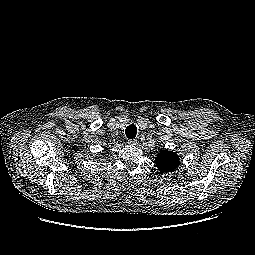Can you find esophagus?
Masks as SVG:
<instances>
[{
  "instance_id": "obj_1",
  "label": "esophagus",
  "mask_w": 255,
  "mask_h": 255,
  "mask_svg": "<svg viewBox=\"0 0 255 255\" xmlns=\"http://www.w3.org/2000/svg\"><path fill=\"white\" fill-rule=\"evenodd\" d=\"M128 143H129L130 145H137V144H138V140H137V139H129V140H128Z\"/></svg>"
}]
</instances>
